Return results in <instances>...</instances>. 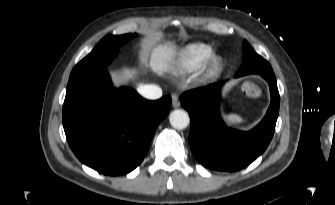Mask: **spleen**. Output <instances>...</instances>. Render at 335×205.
I'll return each mask as SVG.
<instances>
[{"instance_id": "1", "label": "spleen", "mask_w": 335, "mask_h": 205, "mask_svg": "<svg viewBox=\"0 0 335 205\" xmlns=\"http://www.w3.org/2000/svg\"><path fill=\"white\" fill-rule=\"evenodd\" d=\"M225 118L231 126L240 125L244 122V120L240 116L235 114L226 115Z\"/></svg>"}]
</instances>
